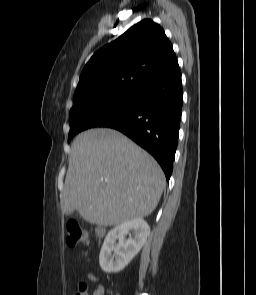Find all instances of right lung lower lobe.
<instances>
[{
	"instance_id": "obj_1",
	"label": "right lung lower lobe",
	"mask_w": 256,
	"mask_h": 295,
	"mask_svg": "<svg viewBox=\"0 0 256 295\" xmlns=\"http://www.w3.org/2000/svg\"><path fill=\"white\" fill-rule=\"evenodd\" d=\"M181 71L176 56L135 92L131 107L101 121L85 119V125L109 127L124 133L147 150L169 180L178 144L182 108Z\"/></svg>"
}]
</instances>
